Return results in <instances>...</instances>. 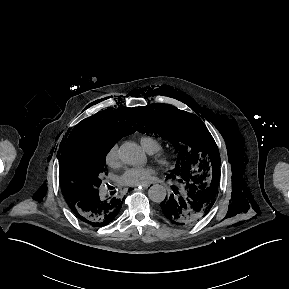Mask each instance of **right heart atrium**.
<instances>
[{
    "mask_svg": "<svg viewBox=\"0 0 289 289\" xmlns=\"http://www.w3.org/2000/svg\"><path fill=\"white\" fill-rule=\"evenodd\" d=\"M106 164L114 167L119 162V154H118V145L114 144L110 147V149L107 151L105 156Z\"/></svg>",
    "mask_w": 289,
    "mask_h": 289,
    "instance_id": "right-heart-atrium-1",
    "label": "right heart atrium"
}]
</instances>
